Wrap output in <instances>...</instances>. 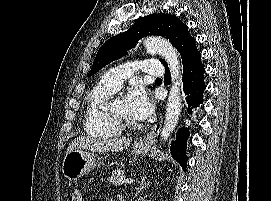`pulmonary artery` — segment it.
Instances as JSON below:
<instances>
[{"label":"pulmonary artery","mask_w":271,"mask_h":201,"mask_svg":"<svg viewBox=\"0 0 271 201\" xmlns=\"http://www.w3.org/2000/svg\"><path fill=\"white\" fill-rule=\"evenodd\" d=\"M139 69L153 76H161L164 74V67L161 62L155 58H147L141 62H131L107 71L101 79V85L118 89L121 84Z\"/></svg>","instance_id":"e3ab8cb5"}]
</instances>
